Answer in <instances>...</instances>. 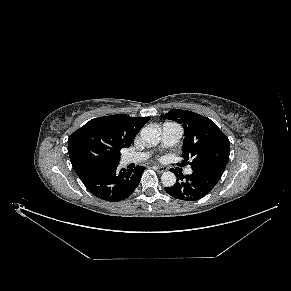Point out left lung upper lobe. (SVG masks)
Returning a JSON list of instances; mask_svg holds the SVG:
<instances>
[{
	"mask_svg": "<svg viewBox=\"0 0 291 291\" xmlns=\"http://www.w3.org/2000/svg\"><path fill=\"white\" fill-rule=\"evenodd\" d=\"M183 125L184 141L181 166L224 170L229 160L230 142L209 118L197 113L174 109L161 115Z\"/></svg>",
	"mask_w": 291,
	"mask_h": 291,
	"instance_id": "left-lung-upper-lobe-1",
	"label": "left lung upper lobe"
}]
</instances>
